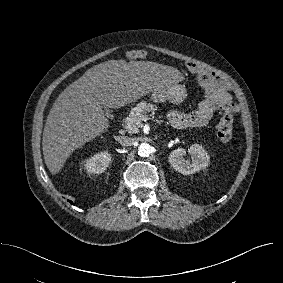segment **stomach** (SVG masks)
I'll return each mask as SVG.
<instances>
[{
    "instance_id": "obj_1",
    "label": "stomach",
    "mask_w": 283,
    "mask_h": 283,
    "mask_svg": "<svg viewBox=\"0 0 283 283\" xmlns=\"http://www.w3.org/2000/svg\"><path fill=\"white\" fill-rule=\"evenodd\" d=\"M186 97L187 92L185 87L179 84L164 86L163 88L154 90L151 94L152 101L156 103L169 101L173 104H180Z\"/></svg>"
}]
</instances>
